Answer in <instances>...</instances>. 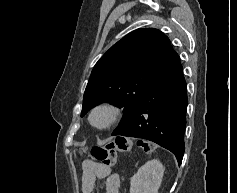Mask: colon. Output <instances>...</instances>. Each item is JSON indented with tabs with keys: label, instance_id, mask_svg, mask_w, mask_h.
<instances>
[{
	"label": "colon",
	"instance_id": "obj_1",
	"mask_svg": "<svg viewBox=\"0 0 237 193\" xmlns=\"http://www.w3.org/2000/svg\"><path fill=\"white\" fill-rule=\"evenodd\" d=\"M133 143L130 138L116 137L114 141L104 145L96 146L91 150L92 157L102 166L113 167L116 162L118 152H128L132 149ZM137 146L145 151L150 147L143 141H138Z\"/></svg>",
	"mask_w": 237,
	"mask_h": 193
}]
</instances>
